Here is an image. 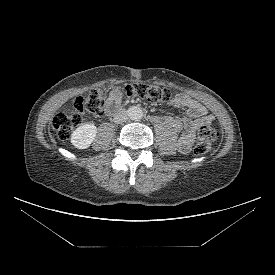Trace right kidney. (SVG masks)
Returning <instances> with one entry per match:
<instances>
[{
    "mask_svg": "<svg viewBox=\"0 0 275 275\" xmlns=\"http://www.w3.org/2000/svg\"><path fill=\"white\" fill-rule=\"evenodd\" d=\"M97 128L94 124H83L71 135V143L78 149H86L94 141Z\"/></svg>",
    "mask_w": 275,
    "mask_h": 275,
    "instance_id": "obj_1",
    "label": "right kidney"
}]
</instances>
